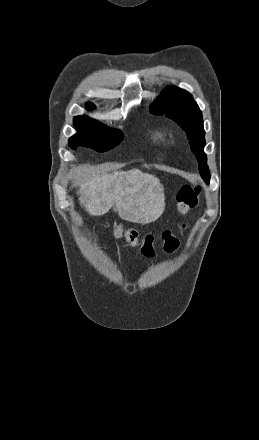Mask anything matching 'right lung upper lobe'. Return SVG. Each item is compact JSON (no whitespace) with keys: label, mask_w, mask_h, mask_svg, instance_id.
<instances>
[{"label":"right lung upper lobe","mask_w":259,"mask_h":440,"mask_svg":"<svg viewBox=\"0 0 259 440\" xmlns=\"http://www.w3.org/2000/svg\"><path fill=\"white\" fill-rule=\"evenodd\" d=\"M89 107H90V108H93V107H94V105H93L92 103H90V104H89Z\"/></svg>","instance_id":"obj_1"}]
</instances>
